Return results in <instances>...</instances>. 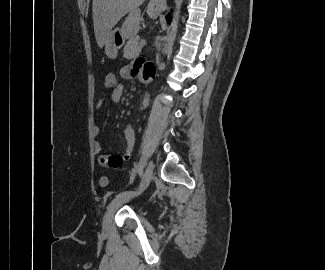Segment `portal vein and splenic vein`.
Here are the masks:
<instances>
[{"instance_id":"1","label":"portal vein and splenic vein","mask_w":325,"mask_h":270,"mask_svg":"<svg viewBox=\"0 0 325 270\" xmlns=\"http://www.w3.org/2000/svg\"><path fill=\"white\" fill-rule=\"evenodd\" d=\"M145 44H146V41L143 40L140 45H141V47H143V46H145Z\"/></svg>"}]
</instances>
